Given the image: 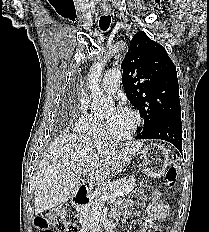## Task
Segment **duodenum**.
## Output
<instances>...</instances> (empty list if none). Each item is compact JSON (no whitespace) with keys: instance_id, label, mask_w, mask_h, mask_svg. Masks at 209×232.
Returning <instances> with one entry per match:
<instances>
[{"instance_id":"1","label":"duodenum","mask_w":209,"mask_h":232,"mask_svg":"<svg viewBox=\"0 0 209 232\" xmlns=\"http://www.w3.org/2000/svg\"><path fill=\"white\" fill-rule=\"evenodd\" d=\"M89 198H90V191L88 187L80 186L72 197V204L75 207H81L89 201Z\"/></svg>"}]
</instances>
